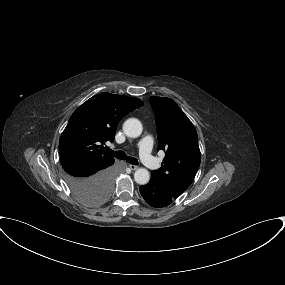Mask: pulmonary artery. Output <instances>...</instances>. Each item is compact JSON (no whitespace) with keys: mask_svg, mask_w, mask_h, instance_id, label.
Masks as SVG:
<instances>
[{"mask_svg":"<svg viewBox=\"0 0 285 285\" xmlns=\"http://www.w3.org/2000/svg\"><path fill=\"white\" fill-rule=\"evenodd\" d=\"M152 139L150 136H145L138 143L139 156L141 161L150 169L158 167L157 161L151 155Z\"/></svg>","mask_w":285,"mask_h":285,"instance_id":"e3ab8cb5","label":"pulmonary artery"}]
</instances>
